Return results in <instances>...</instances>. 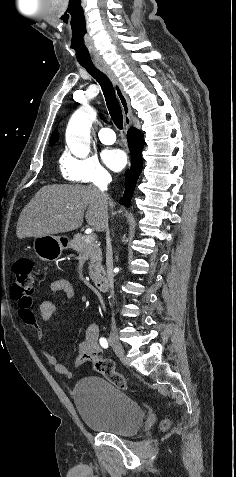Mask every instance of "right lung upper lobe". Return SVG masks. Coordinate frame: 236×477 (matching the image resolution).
<instances>
[{
  "instance_id": "cb5924a9",
  "label": "right lung upper lobe",
  "mask_w": 236,
  "mask_h": 477,
  "mask_svg": "<svg viewBox=\"0 0 236 477\" xmlns=\"http://www.w3.org/2000/svg\"><path fill=\"white\" fill-rule=\"evenodd\" d=\"M56 138H57V135L56 133H54L51 138V143H53L56 140Z\"/></svg>"
}]
</instances>
